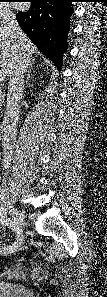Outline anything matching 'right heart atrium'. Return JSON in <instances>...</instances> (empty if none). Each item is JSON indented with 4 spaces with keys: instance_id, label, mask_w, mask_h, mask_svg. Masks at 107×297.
Wrapping results in <instances>:
<instances>
[{
    "instance_id": "d8ad5b80",
    "label": "right heart atrium",
    "mask_w": 107,
    "mask_h": 297,
    "mask_svg": "<svg viewBox=\"0 0 107 297\" xmlns=\"http://www.w3.org/2000/svg\"><path fill=\"white\" fill-rule=\"evenodd\" d=\"M1 19H7L10 17V9L8 7H0Z\"/></svg>"
}]
</instances>
